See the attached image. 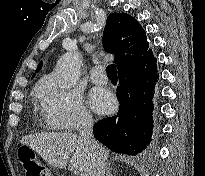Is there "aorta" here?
Instances as JSON below:
<instances>
[{"label":"aorta","instance_id":"aorta-1","mask_svg":"<svg viewBox=\"0 0 205 176\" xmlns=\"http://www.w3.org/2000/svg\"><path fill=\"white\" fill-rule=\"evenodd\" d=\"M80 75L81 61L77 53L68 52L57 62L56 78L59 87L72 88L78 82Z\"/></svg>","mask_w":205,"mask_h":176}]
</instances>
